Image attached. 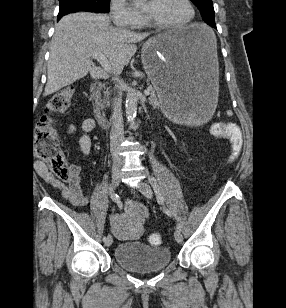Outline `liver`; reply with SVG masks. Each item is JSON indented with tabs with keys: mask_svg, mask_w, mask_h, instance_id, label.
I'll return each instance as SVG.
<instances>
[{
	"mask_svg": "<svg viewBox=\"0 0 286 308\" xmlns=\"http://www.w3.org/2000/svg\"><path fill=\"white\" fill-rule=\"evenodd\" d=\"M148 35L113 28L105 14L79 12L64 16L55 26L51 41L43 95H51L88 73L94 79L104 78L108 72L120 73L136 53V43ZM94 51L108 58L111 70L92 66Z\"/></svg>",
	"mask_w": 286,
	"mask_h": 308,
	"instance_id": "liver-1",
	"label": "liver"
}]
</instances>
